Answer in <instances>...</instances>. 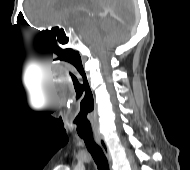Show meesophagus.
Here are the masks:
<instances>
[{
  "instance_id": "esophagus-1",
  "label": "esophagus",
  "mask_w": 190,
  "mask_h": 170,
  "mask_svg": "<svg viewBox=\"0 0 190 170\" xmlns=\"http://www.w3.org/2000/svg\"><path fill=\"white\" fill-rule=\"evenodd\" d=\"M94 138H95V141L98 143V145L103 150V152H104L105 156L107 157V159L109 160V162L111 163V155H110L109 148H108V145H107L105 139L100 135H95Z\"/></svg>"
}]
</instances>
